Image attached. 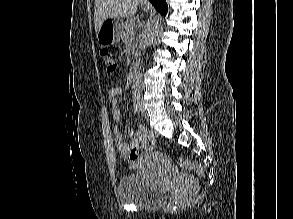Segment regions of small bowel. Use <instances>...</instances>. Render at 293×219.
<instances>
[{
  "label": "small bowel",
  "instance_id": "obj_1",
  "mask_svg": "<svg viewBox=\"0 0 293 219\" xmlns=\"http://www.w3.org/2000/svg\"><path fill=\"white\" fill-rule=\"evenodd\" d=\"M121 95H122V90L119 87L112 88L108 92V99L112 107L113 120L116 123H119L121 119V105L119 103V98ZM146 130H147L146 127L142 125L139 126L137 131L130 132V135L132 136L131 141L125 142L123 140V136H122L120 128L118 126H115L113 128L115 146L123 157H128L130 150L142 143L144 138V132Z\"/></svg>",
  "mask_w": 293,
  "mask_h": 219
}]
</instances>
